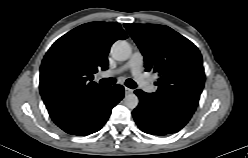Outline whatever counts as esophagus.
Wrapping results in <instances>:
<instances>
[{"label": "esophagus", "instance_id": "34e87169", "mask_svg": "<svg viewBox=\"0 0 248 158\" xmlns=\"http://www.w3.org/2000/svg\"><path fill=\"white\" fill-rule=\"evenodd\" d=\"M124 90H125V94H126V95H127V94H131V93L133 92V90L130 89V88H128V87H125Z\"/></svg>", "mask_w": 248, "mask_h": 158}]
</instances>
